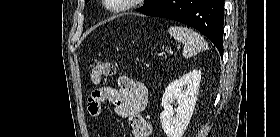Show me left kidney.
<instances>
[{
	"mask_svg": "<svg viewBox=\"0 0 280 137\" xmlns=\"http://www.w3.org/2000/svg\"><path fill=\"white\" fill-rule=\"evenodd\" d=\"M201 81V71L192 70L172 81L166 88L160 114L162 128L167 137H182L192 117ZM173 104L177 108L173 107Z\"/></svg>",
	"mask_w": 280,
	"mask_h": 137,
	"instance_id": "5707ae66",
	"label": "left kidney"
}]
</instances>
